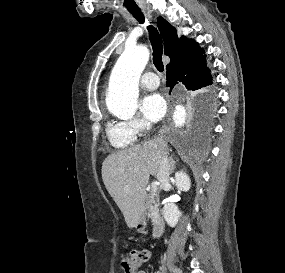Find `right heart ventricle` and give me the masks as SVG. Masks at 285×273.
Segmentation results:
<instances>
[{"mask_svg":"<svg viewBox=\"0 0 285 273\" xmlns=\"http://www.w3.org/2000/svg\"><path fill=\"white\" fill-rule=\"evenodd\" d=\"M106 136L110 144L116 149H126L132 146L136 137L125 127L123 122H108Z\"/></svg>","mask_w":285,"mask_h":273,"instance_id":"1","label":"right heart ventricle"}]
</instances>
